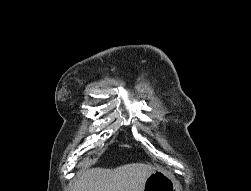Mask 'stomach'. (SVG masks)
Masks as SVG:
<instances>
[{"mask_svg":"<svg viewBox=\"0 0 251 191\" xmlns=\"http://www.w3.org/2000/svg\"><path fill=\"white\" fill-rule=\"evenodd\" d=\"M143 191H178L172 177L162 171H154L146 177Z\"/></svg>","mask_w":251,"mask_h":191,"instance_id":"0dacf381","label":"stomach"}]
</instances>
